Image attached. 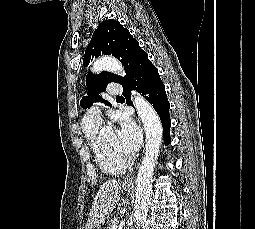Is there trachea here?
Returning a JSON list of instances; mask_svg holds the SVG:
<instances>
[{
    "mask_svg": "<svg viewBox=\"0 0 255 229\" xmlns=\"http://www.w3.org/2000/svg\"><path fill=\"white\" fill-rule=\"evenodd\" d=\"M117 98H122V96H118Z\"/></svg>",
    "mask_w": 255,
    "mask_h": 229,
    "instance_id": "1",
    "label": "trachea"
}]
</instances>
